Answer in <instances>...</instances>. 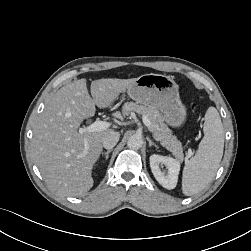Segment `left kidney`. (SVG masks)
Masks as SVG:
<instances>
[{"label":"left kidney","mask_w":251,"mask_h":251,"mask_svg":"<svg viewBox=\"0 0 251 251\" xmlns=\"http://www.w3.org/2000/svg\"><path fill=\"white\" fill-rule=\"evenodd\" d=\"M160 164L165 165L167 174L161 171ZM150 167L155 179L166 189H174L177 185L180 162L168 156L153 154L150 156Z\"/></svg>","instance_id":"left-kidney-1"}]
</instances>
